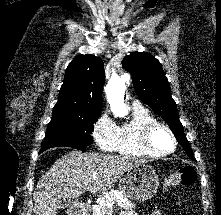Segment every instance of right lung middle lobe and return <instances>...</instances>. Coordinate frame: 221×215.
I'll list each match as a JSON object with an SVG mask.
<instances>
[{"instance_id": "right-lung-middle-lobe-1", "label": "right lung middle lobe", "mask_w": 221, "mask_h": 215, "mask_svg": "<svg viewBox=\"0 0 221 215\" xmlns=\"http://www.w3.org/2000/svg\"><path fill=\"white\" fill-rule=\"evenodd\" d=\"M98 112L62 111L52 114L48 123L43 148L58 146L73 147L90 145L93 124L99 118Z\"/></svg>"}]
</instances>
